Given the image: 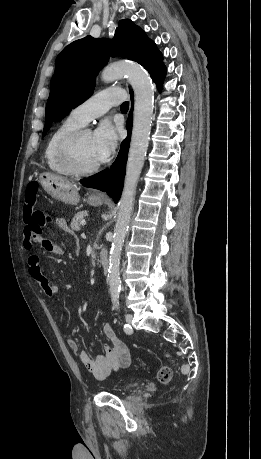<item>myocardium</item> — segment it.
I'll return each instance as SVG.
<instances>
[{
	"label": "myocardium",
	"mask_w": 261,
	"mask_h": 459,
	"mask_svg": "<svg viewBox=\"0 0 261 459\" xmlns=\"http://www.w3.org/2000/svg\"><path fill=\"white\" fill-rule=\"evenodd\" d=\"M90 130L79 128L68 134L60 143L58 148V159L60 164L72 175L88 176L96 173L100 164L91 168H82L77 161V146L80 138L85 132Z\"/></svg>",
	"instance_id": "f54148a6"
}]
</instances>
